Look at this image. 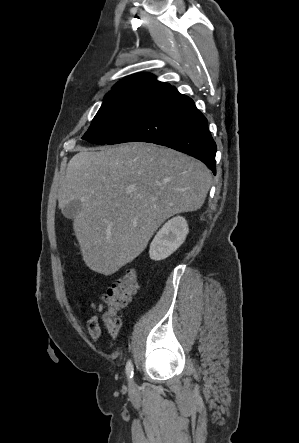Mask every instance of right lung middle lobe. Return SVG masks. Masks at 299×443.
Wrapping results in <instances>:
<instances>
[{
    "mask_svg": "<svg viewBox=\"0 0 299 443\" xmlns=\"http://www.w3.org/2000/svg\"><path fill=\"white\" fill-rule=\"evenodd\" d=\"M167 89L127 88L110 91L82 139L108 144L122 134Z\"/></svg>",
    "mask_w": 299,
    "mask_h": 443,
    "instance_id": "obj_1",
    "label": "right lung middle lobe"
}]
</instances>
